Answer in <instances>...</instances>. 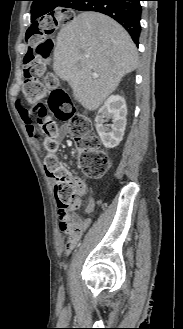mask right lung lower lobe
Instances as JSON below:
<instances>
[{"label": "right lung lower lobe", "instance_id": "right-lung-lower-lobe-1", "mask_svg": "<svg viewBox=\"0 0 183 329\" xmlns=\"http://www.w3.org/2000/svg\"><path fill=\"white\" fill-rule=\"evenodd\" d=\"M141 0H73L69 8L79 11H96L119 22L138 46L141 32Z\"/></svg>", "mask_w": 183, "mask_h": 329}]
</instances>
